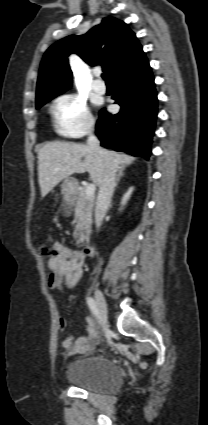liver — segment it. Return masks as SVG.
Instances as JSON below:
<instances>
[{"mask_svg":"<svg viewBox=\"0 0 208 425\" xmlns=\"http://www.w3.org/2000/svg\"><path fill=\"white\" fill-rule=\"evenodd\" d=\"M107 152L113 155L118 165L124 167L135 161V158L129 155ZM103 169V157L92 151L88 145L60 141L46 143L38 151L41 196L45 197L59 182L74 173L89 172L92 181L99 186Z\"/></svg>","mask_w":208,"mask_h":425,"instance_id":"6515ba94","label":"liver"}]
</instances>
